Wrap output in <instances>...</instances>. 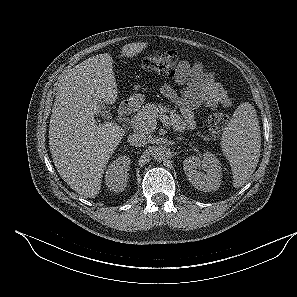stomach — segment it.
Masks as SVG:
<instances>
[{
  "label": "stomach",
  "instance_id": "0dacf381",
  "mask_svg": "<svg viewBox=\"0 0 297 297\" xmlns=\"http://www.w3.org/2000/svg\"><path fill=\"white\" fill-rule=\"evenodd\" d=\"M133 103L141 104L144 101V95L142 94H135L130 99Z\"/></svg>",
  "mask_w": 297,
  "mask_h": 297
}]
</instances>
